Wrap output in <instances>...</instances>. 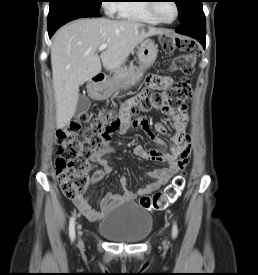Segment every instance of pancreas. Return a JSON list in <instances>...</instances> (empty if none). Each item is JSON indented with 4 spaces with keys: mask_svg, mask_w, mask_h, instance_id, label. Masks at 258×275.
I'll return each instance as SVG.
<instances>
[{
    "mask_svg": "<svg viewBox=\"0 0 258 275\" xmlns=\"http://www.w3.org/2000/svg\"><path fill=\"white\" fill-rule=\"evenodd\" d=\"M135 66L130 63L129 67L125 66L120 70H116L112 77L113 86L117 85L123 79H129L134 74Z\"/></svg>",
    "mask_w": 258,
    "mask_h": 275,
    "instance_id": "obj_1",
    "label": "pancreas"
}]
</instances>
